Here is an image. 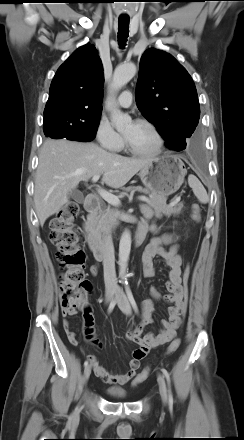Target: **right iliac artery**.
Segmentation results:
<instances>
[{
  "instance_id": "1",
  "label": "right iliac artery",
  "mask_w": 244,
  "mask_h": 440,
  "mask_svg": "<svg viewBox=\"0 0 244 440\" xmlns=\"http://www.w3.org/2000/svg\"><path fill=\"white\" fill-rule=\"evenodd\" d=\"M115 304H116V299H114V300L110 303V305H109V307H108V312H109V313L114 309ZM87 365H88V361L86 360V361L84 362V366L86 367Z\"/></svg>"
}]
</instances>
